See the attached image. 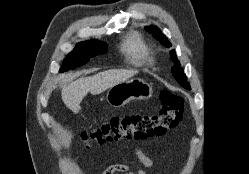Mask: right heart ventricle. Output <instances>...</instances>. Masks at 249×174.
<instances>
[{
  "mask_svg": "<svg viewBox=\"0 0 249 174\" xmlns=\"http://www.w3.org/2000/svg\"><path fill=\"white\" fill-rule=\"evenodd\" d=\"M122 51L135 65H145L150 59L148 47L137 34H131L124 40Z\"/></svg>",
  "mask_w": 249,
  "mask_h": 174,
  "instance_id": "e07e8e85",
  "label": "right heart ventricle"
}]
</instances>
